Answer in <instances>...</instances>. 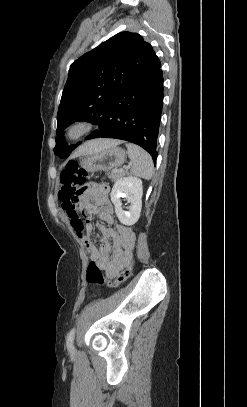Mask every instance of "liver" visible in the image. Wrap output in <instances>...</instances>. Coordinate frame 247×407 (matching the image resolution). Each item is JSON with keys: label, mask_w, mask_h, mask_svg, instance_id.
Wrapping results in <instances>:
<instances>
[{"label": "liver", "mask_w": 247, "mask_h": 407, "mask_svg": "<svg viewBox=\"0 0 247 407\" xmlns=\"http://www.w3.org/2000/svg\"><path fill=\"white\" fill-rule=\"evenodd\" d=\"M121 143L120 140L114 139H97L86 142L83 144L79 149L75 152L73 157H80L88 154H92L94 152H98L100 150L117 146Z\"/></svg>", "instance_id": "obj_1"}]
</instances>
